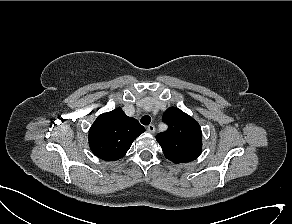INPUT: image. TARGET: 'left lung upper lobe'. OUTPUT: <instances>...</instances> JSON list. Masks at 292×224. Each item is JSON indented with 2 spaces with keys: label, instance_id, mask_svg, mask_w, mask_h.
<instances>
[{
  "label": "left lung upper lobe",
  "instance_id": "obj_1",
  "mask_svg": "<svg viewBox=\"0 0 292 224\" xmlns=\"http://www.w3.org/2000/svg\"><path fill=\"white\" fill-rule=\"evenodd\" d=\"M168 130L156 136L165 157L173 163L191 162L202 152V132L199 124L177 107L163 114Z\"/></svg>",
  "mask_w": 292,
  "mask_h": 224
}]
</instances>
